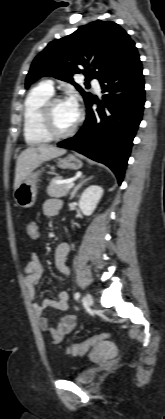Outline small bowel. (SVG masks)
Returning <instances> with one entry per match:
<instances>
[{
	"mask_svg": "<svg viewBox=\"0 0 165 419\" xmlns=\"http://www.w3.org/2000/svg\"><path fill=\"white\" fill-rule=\"evenodd\" d=\"M62 204L57 199H47L43 203V212L46 216H56L61 210ZM36 233L32 235L29 232V225L27 226V233L31 239H37L39 236V228L36 223ZM71 248L67 243H60L55 249V267L57 272L62 276H68L70 269L67 265V260L70 255ZM43 267L37 253H32L30 256L25 274V285L29 298L32 301L34 312L38 319V324L42 331L49 332L53 343L59 344L76 328L78 324V315L69 314L60 317L55 323H51L44 312L48 308H53L59 311H66L68 309L69 294L66 291L58 293L56 299H44L41 302L37 301V283L42 274Z\"/></svg>",
	"mask_w": 165,
	"mask_h": 419,
	"instance_id": "1",
	"label": "small bowel"
}]
</instances>
